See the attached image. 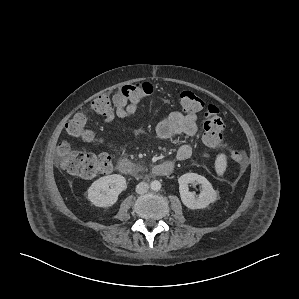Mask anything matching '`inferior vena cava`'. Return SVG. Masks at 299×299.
<instances>
[{"label":"inferior vena cava","instance_id":"obj_1","mask_svg":"<svg viewBox=\"0 0 299 299\" xmlns=\"http://www.w3.org/2000/svg\"><path fill=\"white\" fill-rule=\"evenodd\" d=\"M149 189V184L146 182H140L137 186H136V192L138 194H144L148 191Z\"/></svg>","mask_w":299,"mask_h":299}]
</instances>
